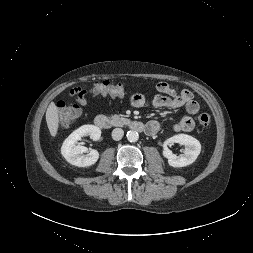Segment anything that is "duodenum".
Returning <instances> with one entry per match:
<instances>
[{"mask_svg":"<svg viewBox=\"0 0 253 253\" xmlns=\"http://www.w3.org/2000/svg\"><path fill=\"white\" fill-rule=\"evenodd\" d=\"M94 122L97 127L104 129V130L111 129L114 126L113 121L105 115H97L94 119ZM129 127H130V129L137 131V132H145L148 130L147 125H145L139 121H131L129 123Z\"/></svg>","mask_w":253,"mask_h":253,"instance_id":"1","label":"duodenum"}]
</instances>
